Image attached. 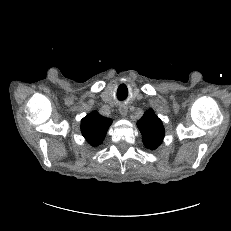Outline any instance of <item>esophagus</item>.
Returning a JSON list of instances; mask_svg holds the SVG:
<instances>
[{
	"instance_id": "1",
	"label": "esophagus",
	"mask_w": 231,
	"mask_h": 231,
	"mask_svg": "<svg viewBox=\"0 0 231 231\" xmlns=\"http://www.w3.org/2000/svg\"><path fill=\"white\" fill-rule=\"evenodd\" d=\"M119 112L123 117H125L127 115V112H128L127 106L126 105H121L119 107Z\"/></svg>"
}]
</instances>
